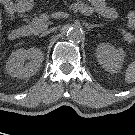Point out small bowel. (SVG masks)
Wrapping results in <instances>:
<instances>
[{
	"mask_svg": "<svg viewBox=\"0 0 135 135\" xmlns=\"http://www.w3.org/2000/svg\"><path fill=\"white\" fill-rule=\"evenodd\" d=\"M92 3L102 17L106 19H114L117 16L116 10L111 7L106 0H92ZM0 4L4 7L10 21L12 22L16 13H21L25 11L27 0H0ZM1 23L2 17L0 14V30Z\"/></svg>",
	"mask_w": 135,
	"mask_h": 135,
	"instance_id": "obj_1",
	"label": "small bowel"
}]
</instances>
